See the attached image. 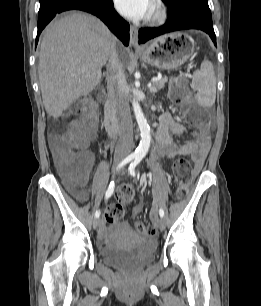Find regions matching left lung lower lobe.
I'll return each mask as SVG.
<instances>
[{
  "label": "left lung lower lobe",
  "mask_w": 261,
  "mask_h": 306,
  "mask_svg": "<svg viewBox=\"0 0 261 306\" xmlns=\"http://www.w3.org/2000/svg\"><path fill=\"white\" fill-rule=\"evenodd\" d=\"M167 5L170 11L166 24L159 28L140 29L139 43H145L152 38L173 31L198 29L209 34L216 45L208 0H175Z\"/></svg>",
  "instance_id": "left-lung-lower-lobe-1"
}]
</instances>
